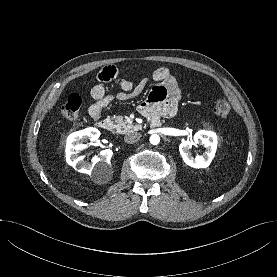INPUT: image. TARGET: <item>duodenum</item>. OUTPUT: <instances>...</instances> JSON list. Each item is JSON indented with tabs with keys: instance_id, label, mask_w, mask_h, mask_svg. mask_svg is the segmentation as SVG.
I'll use <instances>...</instances> for the list:
<instances>
[{
	"instance_id": "duodenum-1",
	"label": "duodenum",
	"mask_w": 277,
	"mask_h": 277,
	"mask_svg": "<svg viewBox=\"0 0 277 277\" xmlns=\"http://www.w3.org/2000/svg\"><path fill=\"white\" fill-rule=\"evenodd\" d=\"M149 119H150V124L152 126H158L160 123L159 118L157 116H151ZM96 126L100 129L106 130V131L111 129V123H110V121H108L106 119H97Z\"/></svg>"
}]
</instances>
